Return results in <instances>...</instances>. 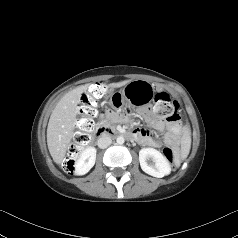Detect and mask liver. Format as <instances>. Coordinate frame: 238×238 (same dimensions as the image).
<instances>
[{"mask_svg": "<svg viewBox=\"0 0 238 238\" xmlns=\"http://www.w3.org/2000/svg\"><path fill=\"white\" fill-rule=\"evenodd\" d=\"M130 81L111 83L108 87L119 88ZM88 87V85H81L66 93L51 113L47 127V145L51 157L57 164H60L65 157L75 129L78 104Z\"/></svg>", "mask_w": 238, "mask_h": 238, "instance_id": "liver-1", "label": "liver"}]
</instances>
